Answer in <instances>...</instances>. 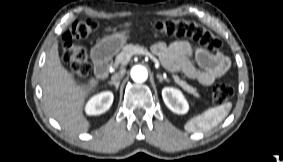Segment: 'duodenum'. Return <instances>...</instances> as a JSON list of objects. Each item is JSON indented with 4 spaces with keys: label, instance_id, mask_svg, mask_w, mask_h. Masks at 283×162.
<instances>
[{
    "label": "duodenum",
    "instance_id": "410a0bca",
    "mask_svg": "<svg viewBox=\"0 0 283 162\" xmlns=\"http://www.w3.org/2000/svg\"><path fill=\"white\" fill-rule=\"evenodd\" d=\"M95 72L99 78H104L108 75L111 66L110 53L104 49L99 48L94 52Z\"/></svg>",
    "mask_w": 283,
    "mask_h": 162
}]
</instances>
